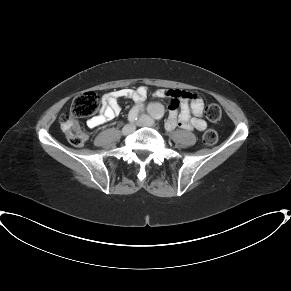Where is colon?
<instances>
[{
  "label": "colon",
  "instance_id": "obj_1",
  "mask_svg": "<svg viewBox=\"0 0 291 291\" xmlns=\"http://www.w3.org/2000/svg\"><path fill=\"white\" fill-rule=\"evenodd\" d=\"M99 105L98 95L93 91H86L76 96L70 106L69 112L60 117V128L68 141L74 146H82L88 139V132L80 126L78 119L93 115ZM205 115L211 122H219L221 109L215 103L205 107ZM218 135L213 129H208L203 134V143L213 145L217 142Z\"/></svg>",
  "mask_w": 291,
  "mask_h": 291
}]
</instances>
